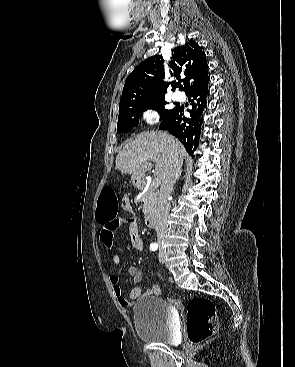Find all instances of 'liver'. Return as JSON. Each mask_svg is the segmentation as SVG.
<instances>
[{
    "mask_svg": "<svg viewBox=\"0 0 295 367\" xmlns=\"http://www.w3.org/2000/svg\"><path fill=\"white\" fill-rule=\"evenodd\" d=\"M186 155L183 145L164 132L145 131L127 143L116 157V169L124 174L143 177L152 168L149 160L155 159L154 174L162 181L174 163L182 164Z\"/></svg>",
    "mask_w": 295,
    "mask_h": 367,
    "instance_id": "obj_1",
    "label": "liver"
}]
</instances>
